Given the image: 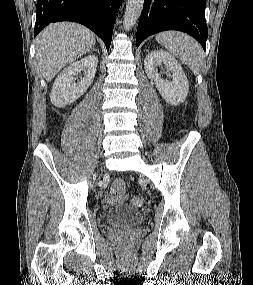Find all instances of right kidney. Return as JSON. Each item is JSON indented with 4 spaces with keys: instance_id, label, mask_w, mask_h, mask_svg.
Instances as JSON below:
<instances>
[{
    "instance_id": "right-kidney-1",
    "label": "right kidney",
    "mask_w": 253,
    "mask_h": 285,
    "mask_svg": "<svg viewBox=\"0 0 253 285\" xmlns=\"http://www.w3.org/2000/svg\"><path fill=\"white\" fill-rule=\"evenodd\" d=\"M97 64L98 58L88 55L64 68L53 84L50 94L52 104L62 108L80 98L93 82ZM81 70H84V77L80 82H76L74 76Z\"/></svg>"
}]
</instances>
